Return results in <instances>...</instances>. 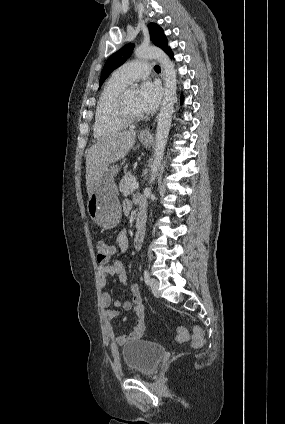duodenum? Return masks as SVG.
Masks as SVG:
<instances>
[{"label":"duodenum","instance_id":"410a0bca","mask_svg":"<svg viewBox=\"0 0 285 424\" xmlns=\"http://www.w3.org/2000/svg\"><path fill=\"white\" fill-rule=\"evenodd\" d=\"M147 218L144 213L139 214L136 221V236L142 238L145 234Z\"/></svg>","mask_w":285,"mask_h":424}]
</instances>
